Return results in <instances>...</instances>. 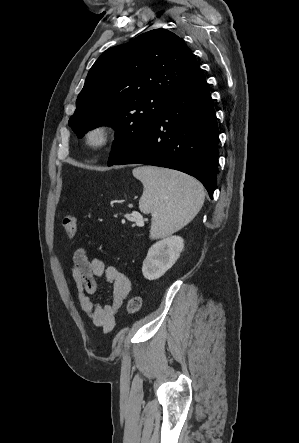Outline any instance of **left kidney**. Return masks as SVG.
<instances>
[{
  "mask_svg": "<svg viewBox=\"0 0 299 443\" xmlns=\"http://www.w3.org/2000/svg\"><path fill=\"white\" fill-rule=\"evenodd\" d=\"M184 248V240L180 236H169L153 244L143 261L142 272L146 279L160 278L177 261Z\"/></svg>",
  "mask_w": 299,
  "mask_h": 443,
  "instance_id": "obj_1",
  "label": "left kidney"
}]
</instances>
